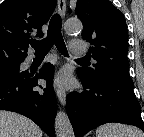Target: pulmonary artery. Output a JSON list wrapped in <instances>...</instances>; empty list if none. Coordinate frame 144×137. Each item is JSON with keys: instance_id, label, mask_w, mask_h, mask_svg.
Masks as SVG:
<instances>
[{"instance_id": "pulmonary-artery-1", "label": "pulmonary artery", "mask_w": 144, "mask_h": 137, "mask_svg": "<svg viewBox=\"0 0 144 137\" xmlns=\"http://www.w3.org/2000/svg\"><path fill=\"white\" fill-rule=\"evenodd\" d=\"M69 46L73 54L82 55L85 52V43L83 41L71 40Z\"/></svg>"}]
</instances>
